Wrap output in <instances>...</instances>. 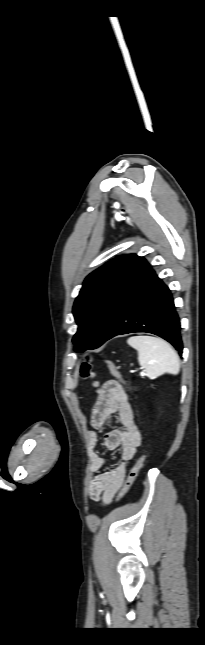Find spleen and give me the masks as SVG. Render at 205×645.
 Returning a JSON list of instances; mask_svg holds the SVG:
<instances>
[{"instance_id": "spleen-1", "label": "spleen", "mask_w": 205, "mask_h": 645, "mask_svg": "<svg viewBox=\"0 0 205 645\" xmlns=\"http://www.w3.org/2000/svg\"><path fill=\"white\" fill-rule=\"evenodd\" d=\"M127 343L138 351L139 364L150 379L179 373V357L166 341L153 336H132Z\"/></svg>"}]
</instances>
